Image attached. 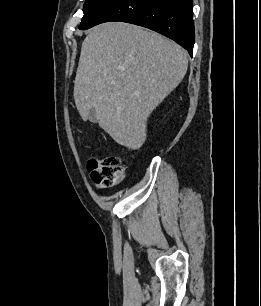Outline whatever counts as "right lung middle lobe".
<instances>
[{
  "label": "right lung middle lobe",
  "instance_id": "obj_1",
  "mask_svg": "<svg viewBox=\"0 0 261 306\" xmlns=\"http://www.w3.org/2000/svg\"><path fill=\"white\" fill-rule=\"evenodd\" d=\"M114 0H86L83 6L84 16L79 29L88 26Z\"/></svg>",
  "mask_w": 261,
  "mask_h": 306
}]
</instances>
